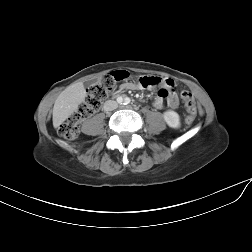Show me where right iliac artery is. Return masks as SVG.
Here are the masks:
<instances>
[{"label":"right iliac artery","mask_w":252,"mask_h":252,"mask_svg":"<svg viewBox=\"0 0 252 252\" xmlns=\"http://www.w3.org/2000/svg\"><path fill=\"white\" fill-rule=\"evenodd\" d=\"M117 101H118V103H121V104H122L123 99H122L121 97H119V98L117 99Z\"/></svg>","instance_id":"1"}]
</instances>
